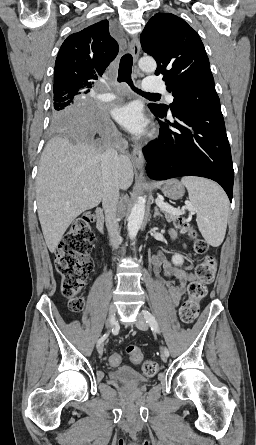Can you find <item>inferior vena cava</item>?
<instances>
[{"instance_id":"602c4592","label":"inferior vena cava","mask_w":256,"mask_h":445,"mask_svg":"<svg viewBox=\"0 0 256 445\" xmlns=\"http://www.w3.org/2000/svg\"><path fill=\"white\" fill-rule=\"evenodd\" d=\"M119 156L113 148H108L102 155V174L104 181L102 206L105 212L106 227L115 249L121 241L117 223L119 202L118 181Z\"/></svg>"}]
</instances>
